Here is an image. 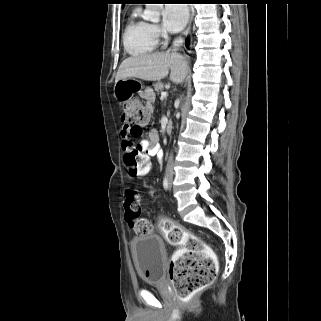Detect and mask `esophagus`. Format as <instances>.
<instances>
[{
	"label": "esophagus",
	"mask_w": 321,
	"mask_h": 321,
	"mask_svg": "<svg viewBox=\"0 0 321 321\" xmlns=\"http://www.w3.org/2000/svg\"><path fill=\"white\" fill-rule=\"evenodd\" d=\"M189 9H190V16H189L188 26H187V29H186V31H185V34H186V35H188L189 32H190L191 23H192V18H193V8L190 6Z\"/></svg>",
	"instance_id": "34e87169"
}]
</instances>
